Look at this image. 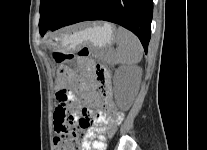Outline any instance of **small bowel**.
Instances as JSON below:
<instances>
[{
	"instance_id": "1",
	"label": "small bowel",
	"mask_w": 207,
	"mask_h": 150,
	"mask_svg": "<svg viewBox=\"0 0 207 150\" xmlns=\"http://www.w3.org/2000/svg\"><path fill=\"white\" fill-rule=\"evenodd\" d=\"M79 68L82 71L81 76L67 72L68 77H72L71 85L84 103L82 112L95 110L93 119L96 126L87 132V140L82 145V150H105V139L114 134L117 126L123 120V114L114 108L108 71L88 58L79 60ZM66 83L61 82V86H65ZM73 96L76 99L75 95ZM77 114L76 110L71 111V118H75ZM96 133H100L98 139L90 141Z\"/></svg>"
}]
</instances>
